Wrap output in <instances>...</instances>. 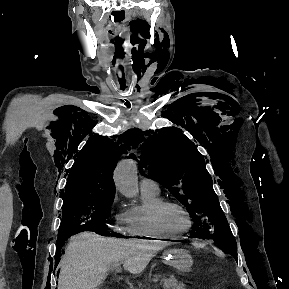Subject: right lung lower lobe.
Segmentation results:
<instances>
[{"label": "right lung lower lobe", "mask_w": 289, "mask_h": 289, "mask_svg": "<svg viewBox=\"0 0 289 289\" xmlns=\"http://www.w3.org/2000/svg\"><path fill=\"white\" fill-rule=\"evenodd\" d=\"M64 242H65V240H63V239L57 240V242H56V244H57L56 255H55V264L56 265L59 263L60 256H61L60 250H61V247H62Z\"/></svg>", "instance_id": "98d812e1"}]
</instances>
